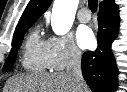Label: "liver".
Instances as JSON below:
<instances>
[{
    "mask_svg": "<svg viewBox=\"0 0 127 92\" xmlns=\"http://www.w3.org/2000/svg\"><path fill=\"white\" fill-rule=\"evenodd\" d=\"M76 85L65 72L19 75L7 81L4 92H77ZM79 92H89L83 82Z\"/></svg>",
    "mask_w": 127,
    "mask_h": 92,
    "instance_id": "obj_1",
    "label": "liver"
}]
</instances>
